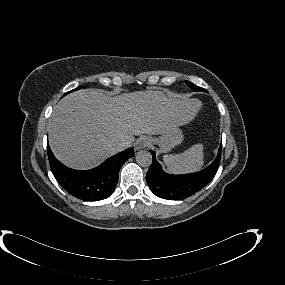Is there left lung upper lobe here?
<instances>
[{
    "mask_svg": "<svg viewBox=\"0 0 285 285\" xmlns=\"http://www.w3.org/2000/svg\"><path fill=\"white\" fill-rule=\"evenodd\" d=\"M187 85L193 89L194 91H204V92H207L205 89L201 88V87H198L196 85H194L193 83L189 82V81H186Z\"/></svg>",
    "mask_w": 285,
    "mask_h": 285,
    "instance_id": "left-lung-upper-lobe-1",
    "label": "left lung upper lobe"
}]
</instances>
